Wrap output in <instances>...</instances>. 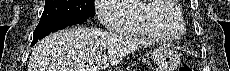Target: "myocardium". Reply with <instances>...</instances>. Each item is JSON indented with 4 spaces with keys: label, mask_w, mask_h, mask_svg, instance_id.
I'll list each match as a JSON object with an SVG mask.
<instances>
[{
    "label": "myocardium",
    "mask_w": 230,
    "mask_h": 71,
    "mask_svg": "<svg viewBox=\"0 0 230 71\" xmlns=\"http://www.w3.org/2000/svg\"><path fill=\"white\" fill-rule=\"evenodd\" d=\"M158 2H175L176 0H156Z\"/></svg>",
    "instance_id": "myocardium-1"
}]
</instances>
